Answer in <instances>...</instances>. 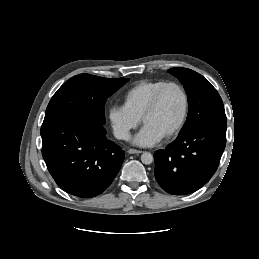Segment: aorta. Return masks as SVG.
I'll list each match as a JSON object with an SVG mask.
<instances>
[{
  "label": "aorta",
  "mask_w": 259,
  "mask_h": 259,
  "mask_svg": "<svg viewBox=\"0 0 259 259\" xmlns=\"http://www.w3.org/2000/svg\"><path fill=\"white\" fill-rule=\"evenodd\" d=\"M153 160H154L153 155L149 152H144L141 155V161L145 165L151 164L153 162Z\"/></svg>",
  "instance_id": "762f6f07"
}]
</instances>
